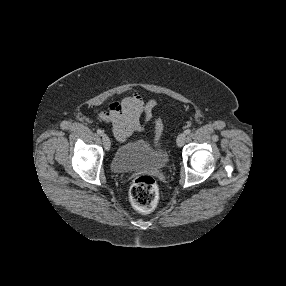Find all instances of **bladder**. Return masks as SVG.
I'll return each mask as SVG.
<instances>
[{"label":"bladder","mask_w":286,"mask_h":286,"mask_svg":"<svg viewBox=\"0 0 286 286\" xmlns=\"http://www.w3.org/2000/svg\"><path fill=\"white\" fill-rule=\"evenodd\" d=\"M168 161L169 155L163 146L151 148L146 138L139 137L117 147L111 159V169L121 174L142 168H163Z\"/></svg>","instance_id":"obj_1"}]
</instances>
